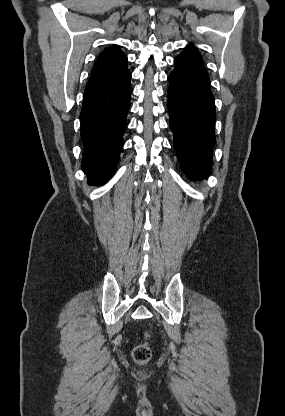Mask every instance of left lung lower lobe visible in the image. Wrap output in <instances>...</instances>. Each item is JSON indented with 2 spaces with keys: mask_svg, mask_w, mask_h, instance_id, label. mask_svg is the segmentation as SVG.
I'll return each instance as SVG.
<instances>
[{
  "mask_svg": "<svg viewBox=\"0 0 285 416\" xmlns=\"http://www.w3.org/2000/svg\"><path fill=\"white\" fill-rule=\"evenodd\" d=\"M169 75L168 111L174 148L191 178L211 173L216 113L209 76L203 64L186 56L174 60Z\"/></svg>",
  "mask_w": 285,
  "mask_h": 416,
  "instance_id": "1",
  "label": "left lung lower lobe"
}]
</instances>
